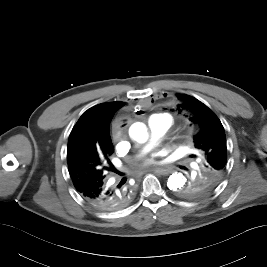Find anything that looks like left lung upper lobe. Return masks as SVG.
<instances>
[{
    "instance_id": "5c2ea615",
    "label": "left lung upper lobe",
    "mask_w": 267,
    "mask_h": 267,
    "mask_svg": "<svg viewBox=\"0 0 267 267\" xmlns=\"http://www.w3.org/2000/svg\"><path fill=\"white\" fill-rule=\"evenodd\" d=\"M178 99L177 110L198 129L193 139L203 157L201 171L179 190L181 197L192 199L212 192L222 180L227 163L226 137L220 120L205 104L186 94Z\"/></svg>"
}]
</instances>
